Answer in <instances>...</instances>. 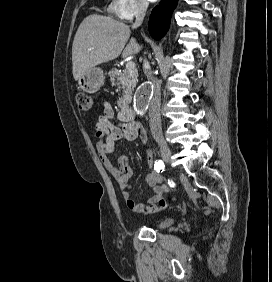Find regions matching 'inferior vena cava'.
<instances>
[{
	"label": "inferior vena cava",
	"instance_id": "inferior-vena-cava-1",
	"mask_svg": "<svg viewBox=\"0 0 272 282\" xmlns=\"http://www.w3.org/2000/svg\"><path fill=\"white\" fill-rule=\"evenodd\" d=\"M147 7L148 4L145 2L141 3L138 6L135 15L136 19L134 24L132 25L133 29L138 28L142 24L144 17L146 15ZM143 67H144V73L147 76L152 86V91H151L152 96L150 99V107H149L150 129L153 138L156 141H161L163 139V134H162L161 117H160V106H161L160 83L153 77L151 67L146 59L143 62Z\"/></svg>",
	"mask_w": 272,
	"mask_h": 282
}]
</instances>
